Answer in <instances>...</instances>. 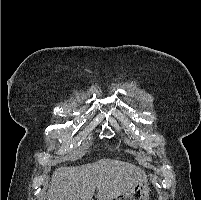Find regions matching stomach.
<instances>
[{
    "mask_svg": "<svg viewBox=\"0 0 201 200\" xmlns=\"http://www.w3.org/2000/svg\"><path fill=\"white\" fill-rule=\"evenodd\" d=\"M149 194L150 188L147 182H140L112 200H149Z\"/></svg>",
    "mask_w": 201,
    "mask_h": 200,
    "instance_id": "obj_1",
    "label": "stomach"
}]
</instances>
